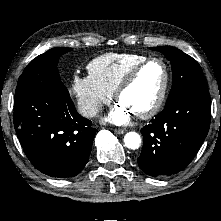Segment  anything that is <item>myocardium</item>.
I'll use <instances>...</instances> for the list:
<instances>
[{
    "label": "myocardium",
    "instance_id": "obj_1",
    "mask_svg": "<svg viewBox=\"0 0 221 221\" xmlns=\"http://www.w3.org/2000/svg\"><path fill=\"white\" fill-rule=\"evenodd\" d=\"M153 62H157L162 65L163 70H164V80H163V84L160 89V92L158 94V97L156 98L152 106L143 112L134 114L135 117L139 119H149L153 117L161 109L165 101L168 87H169V82H170V71L166 62L163 59L158 58V57H150L138 63L125 75V77L119 83V85L117 86L114 92V97L116 101H119V98L122 95V93L131 86V84L134 82V80L136 79L138 74L141 72V70L144 67H146L148 64L153 63Z\"/></svg>",
    "mask_w": 221,
    "mask_h": 221
}]
</instances>
